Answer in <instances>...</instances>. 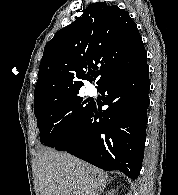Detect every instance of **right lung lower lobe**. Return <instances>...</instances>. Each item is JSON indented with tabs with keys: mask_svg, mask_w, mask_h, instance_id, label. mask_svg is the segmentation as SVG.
Instances as JSON below:
<instances>
[{
	"mask_svg": "<svg viewBox=\"0 0 178 195\" xmlns=\"http://www.w3.org/2000/svg\"><path fill=\"white\" fill-rule=\"evenodd\" d=\"M149 89L147 60L103 83L99 90L108 108L102 111L93 104L77 123L73 135L55 149L136 179L144 157Z\"/></svg>",
	"mask_w": 178,
	"mask_h": 195,
	"instance_id": "obj_1",
	"label": "right lung lower lobe"
}]
</instances>
